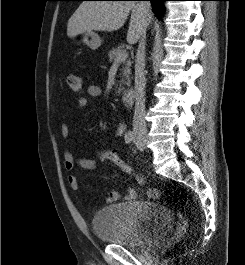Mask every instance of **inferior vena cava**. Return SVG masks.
I'll list each match as a JSON object with an SVG mask.
<instances>
[{"label": "inferior vena cava", "mask_w": 245, "mask_h": 265, "mask_svg": "<svg viewBox=\"0 0 245 265\" xmlns=\"http://www.w3.org/2000/svg\"><path fill=\"white\" fill-rule=\"evenodd\" d=\"M138 7L143 15L144 23L151 18V6L149 1H141ZM139 45L135 60V110L133 116V132L137 135L146 134L147 127L145 122V87L146 78L144 76L145 68V30L140 34Z\"/></svg>", "instance_id": "inferior-vena-cava-1"}]
</instances>
